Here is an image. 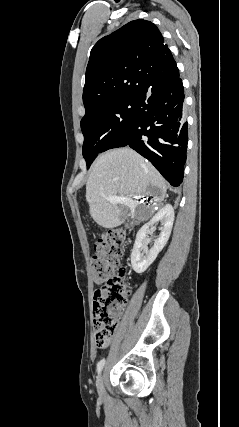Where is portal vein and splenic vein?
<instances>
[{"label":"portal vein and splenic vein","instance_id":"1","mask_svg":"<svg viewBox=\"0 0 239 427\" xmlns=\"http://www.w3.org/2000/svg\"><path fill=\"white\" fill-rule=\"evenodd\" d=\"M107 199L112 204H118V203L130 204L133 202V199L131 197H121L118 195H109Z\"/></svg>","mask_w":239,"mask_h":427}]
</instances>
